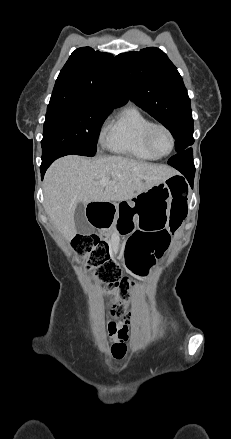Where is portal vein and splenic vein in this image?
<instances>
[{
    "instance_id": "portal-vein-and-splenic-vein-1",
    "label": "portal vein and splenic vein",
    "mask_w": 231,
    "mask_h": 439,
    "mask_svg": "<svg viewBox=\"0 0 231 439\" xmlns=\"http://www.w3.org/2000/svg\"><path fill=\"white\" fill-rule=\"evenodd\" d=\"M109 183V178L105 177L102 180L99 181V184L101 185H107Z\"/></svg>"
}]
</instances>
